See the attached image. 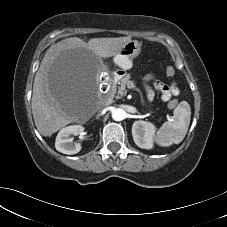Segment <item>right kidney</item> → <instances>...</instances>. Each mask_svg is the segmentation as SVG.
Instances as JSON below:
<instances>
[{"mask_svg":"<svg viewBox=\"0 0 227 227\" xmlns=\"http://www.w3.org/2000/svg\"><path fill=\"white\" fill-rule=\"evenodd\" d=\"M84 127L81 125H70L60 130L56 137L55 148L57 151L73 155L81 150L80 143H73L74 136H82Z\"/></svg>","mask_w":227,"mask_h":227,"instance_id":"ca27d5eb","label":"right kidney"}]
</instances>
